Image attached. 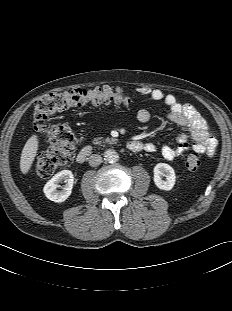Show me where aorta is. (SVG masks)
<instances>
[{"instance_id":"1","label":"aorta","mask_w":232,"mask_h":311,"mask_svg":"<svg viewBox=\"0 0 232 311\" xmlns=\"http://www.w3.org/2000/svg\"><path fill=\"white\" fill-rule=\"evenodd\" d=\"M104 160L108 163H115L119 160V155L115 150L108 149L104 152Z\"/></svg>"}]
</instances>
